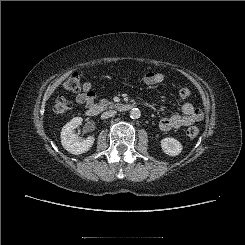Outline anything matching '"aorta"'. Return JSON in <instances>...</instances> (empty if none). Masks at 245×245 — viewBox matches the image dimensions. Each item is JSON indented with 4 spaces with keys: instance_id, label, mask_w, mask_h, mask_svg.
Masks as SVG:
<instances>
[{
    "instance_id": "aorta-1",
    "label": "aorta",
    "mask_w": 245,
    "mask_h": 245,
    "mask_svg": "<svg viewBox=\"0 0 245 245\" xmlns=\"http://www.w3.org/2000/svg\"><path fill=\"white\" fill-rule=\"evenodd\" d=\"M140 116H141V112H140V110L138 108L131 109L130 117L132 119H138V118H140Z\"/></svg>"
}]
</instances>
